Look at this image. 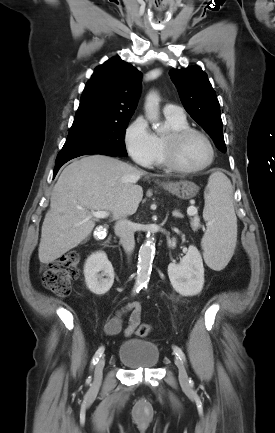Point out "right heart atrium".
<instances>
[{"instance_id": "obj_1", "label": "right heart atrium", "mask_w": 275, "mask_h": 433, "mask_svg": "<svg viewBox=\"0 0 275 433\" xmlns=\"http://www.w3.org/2000/svg\"><path fill=\"white\" fill-rule=\"evenodd\" d=\"M124 142L130 157L140 166L154 164L157 154L155 135L143 116L136 117L126 128Z\"/></svg>"}]
</instances>
